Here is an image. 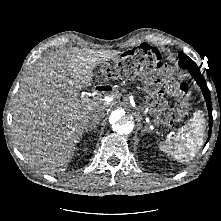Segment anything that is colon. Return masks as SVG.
Instances as JSON below:
<instances>
[{
  "label": "colon",
  "mask_w": 221,
  "mask_h": 221,
  "mask_svg": "<svg viewBox=\"0 0 221 221\" xmlns=\"http://www.w3.org/2000/svg\"><path fill=\"white\" fill-rule=\"evenodd\" d=\"M153 53V49L146 45H142L139 49H135L132 51V57L122 59L118 63H109L103 67V74L107 78H118L124 75H131L133 70L129 69L127 66V62H132L133 60L140 61L139 70L145 72L147 67L152 64L155 57L150 54ZM180 98L176 103V110L182 111L185 109L184 98L187 94L188 87L186 84H181L177 89Z\"/></svg>",
  "instance_id": "1"
}]
</instances>
